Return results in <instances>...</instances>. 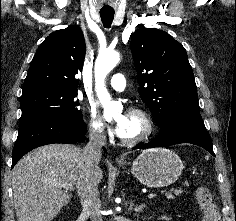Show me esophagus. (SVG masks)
Wrapping results in <instances>:
<instances>
[{"mask_svg": "<svg viewBox=\"0 0 236 221\" xmlns=\"http://www.w3.org/2000/svg\"><path fill=\"white\" fill-rule=\"evenodd\" d=\"M117 161H118V162H120V161H121V159H120V158H118V159H117Z\"/></svg>", "mask_w": 236, "mask_h": 221, "instance_id": "1", "label": "esophagus"}]
</instances>
